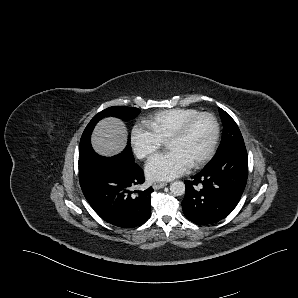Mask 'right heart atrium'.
<instances>
[{
    "label": "right heart atrium",
    "mask_w": 298,
    "mask_h": 298,
    "mask_svg": "<svg viewBox=\"0 0 298 298\" xmlns=\"http://www.w3.org/2000/svg\"><path fill=\"white\" fill-rule=\"evenodd\" d=\"M130 139L135 154L141 159L149 157L163 145V141L151 130L140 125L131 128Z\"/></svg>",
    "instance_id": "1"
}]
</instances>
